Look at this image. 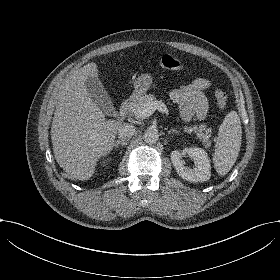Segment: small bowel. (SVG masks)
<instances>
[{"instance_id":"small-bowel-1","label":"small bowel","mask_w":280,"mask_h":280,"mask_svg":"<svg viewBox=\"0 0 280 280\" xmlns=\"http://www.w3.org/2000/svg\"><path fill=\"white\" fill-rule=\"evenodd\" d=\"M212 82L200 77L191 83L171 90L170 98L179 106L185 121L203 120L208 112V102L203 91L209 89Z\"/></svg>"}]
</instances>
